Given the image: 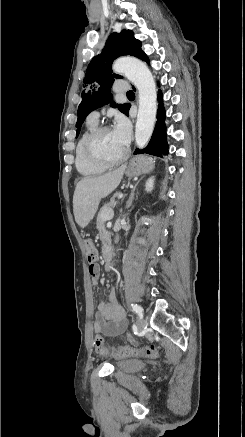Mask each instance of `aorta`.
Returning a JSON list of instances; mask_svg holds the SVG:
<instances>
[{
  "mask_svg": "<svg viewBox=\"0 0 245 437\" xmlns=\"http://www.w3.org/2000/svg\"><path fill=\"white\" fill-rule=\"evenodd\" d=\"M113 70L124 74L138 89L135 142L139 148H144L151 138L156 120L157 92L154 78L146 64L133 57L119 58L115 61Z\"/></svg>",
  "mask_w": 245,
  "mask_h": 437,
  "instance_id": "1",
  "label": "aorta"
}]
</instances>
